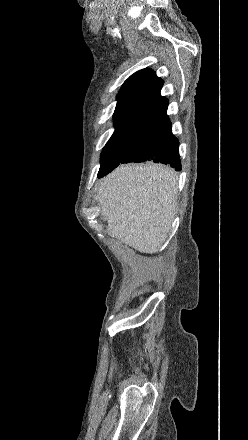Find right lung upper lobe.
<instances>
[{
  "label": "right lung upper lobe",
  "instance_id": "right-lung-upper-lobe-1",
  "mask_svg": "<svg viewBox=\"0 0 248 440\" xmlns=\"http://www.w3.org/2000/svg\"><path fill=\"white\" fill-rule=\"evenodd\" d=\"M163 80L150 69L131 75L117 95L114 112L115 132L134 131L150 118L167 109L168 100L160 95Z\"/></svg>",
  "mask_w": 248,
  "mask_h": 440
}]
</instances>
